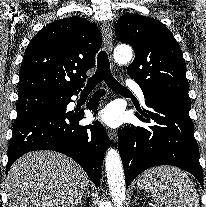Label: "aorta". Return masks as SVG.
Listing matches in <instances>:
<instances>
[{"label":"aorta","instance_id":"1","mask_svg":"<svg viewBox=\"0 0 206 207\" xmlns=\"http://www.w3.org/2000/svg\"><path fill=\"white\" fill-rule=\"evenodd\" d=\"M114 58L118 63H128L132 59V49L118 46L114 50ZM105 168L112 200L116 207H122L125 200L124 172L120 156L114 148H109L106 153Z\"/></svg>","mask_w":206,"mask_h":207}]
</instances>
